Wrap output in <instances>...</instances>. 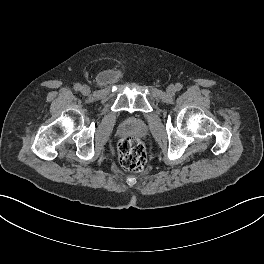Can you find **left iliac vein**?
Segmentation results:
<instances>
[{"instance_id":"obj_1","label":"left iliac vein","mask_w":264,"mask_h":264,"mask_svg":"<svg viewBox=\"0 0 264 264\" xmlns=\"http://www.w3.org/2000/svg\"><path fill=\"white\" fill-rule=\"evenodd\" d=\"M175 92H176V88H175V86H173V85H169V86L167 87V94H168L169 96H173V95L175 94Z\"/></svg>"}]
</instances>
